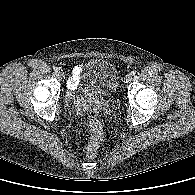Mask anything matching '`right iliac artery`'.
<instances>
[{
	"mask_svg": "<svg viewBox=\"0 0 195 195\" xmlns=\"http://www.w3.org/2000/svg\"><path fill=\"white\" fill-rule=\"evenodd\" d=\"M54 71L58 72L59 71L58 67H54Z\"/></svg>",
	"mask_w": 195,
	"mask_h": 195,
	"instance_id": "right-iliac-artery-1",
	"label": "right iliac artery"
}]
</instances>
